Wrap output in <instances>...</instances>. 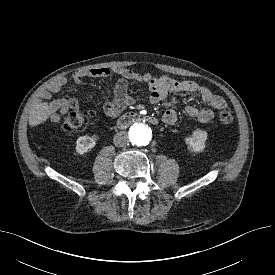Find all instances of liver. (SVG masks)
<instances>
[{"instance_id":"1","label":"liver","mask_w":275,"mask_h":275,"mask_svg":"<svg viewBox=\"0 0 275 275\" xmlns=\"http://www.w3.org/2000/svg\"><path fill=\"white\" fill-rule=\"evenodd\" d=\"M59 107L57 102L41 103L29 116V125L37 126L44 123Z\"/></svg>"}]
</instances>
